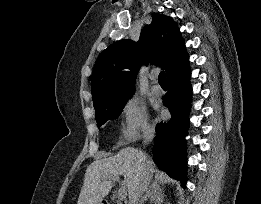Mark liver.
<instances>
[{"label":"liver","instance_id":"obj_1","mask_svg":"<svg viewBox=\"0 0 261 204\" xmlns=\"http://www.w3.org/2000/svg\"><path fill=\"white\" fill-rule=\"evenodd\" d=\"M146 166L149 169V185L155 172V165L138 149L124 148L115 156L93 161L86 169L77 204H102L113 187V182L108 179L109 176L124 177L123 184L127 187L130 198L140 185ZM151 187L157 190V181H154Z\"/></svg>","mask_w":261,"mask_h":204}]
</instances>
